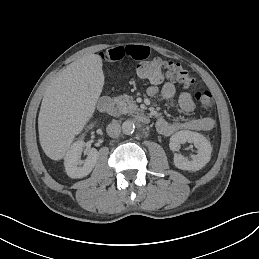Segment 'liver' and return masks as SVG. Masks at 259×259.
Here are the masks:
<instances>
[{
  "label": "liver",
  "mask_w": 259,
  "mask_h": 259,
  "mask_svg": "<svg viewBox=\"0 0 259 259\" xmlns=\"http://www.w3.org/2000/svg\"><path fill=\"white\" fill-rule=\"evenodd\" d=\"M103 61L90 54L71 63L46 88L38 116L39 142L45 155L61 161L94 117L104 86Z\"/></svg>",
  "instance_id": "liver-1"
}]
</instances>
